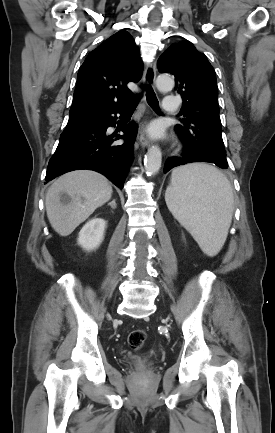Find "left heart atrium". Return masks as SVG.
<instances>
[{"mask_svg": "<svg viewBox=\"0 0 275 433\" xmlns=\"http://www.w3.org/2000/svg\"><path fill=\"white\" fill-rule=\"evenodd\" d=\"M150 132H151L152 135L157 136V135H159V128L156 127V126H153V127L150 129Z\"/></svg>", "mask_w": 275, "mask_h": 433, "instance_id": "1", "label": "left heart atrium"}]
</instances>
